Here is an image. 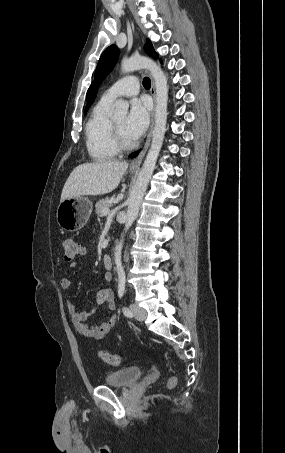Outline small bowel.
I'll return each mask as SVG.
<instances>
[{
  "mask_svg": "<svg viewBox=\"0 0 285 453\" xmlns=\"http://www.w3.org/2000/svg\"><path fill=\"white\" fill-rule=\"evenodd\" d=\"M87 250L84 247H80L79 255L85 256ZM69 267L75 269L77 264L75 262L70 263ZM105 280L110 282L112 280V275L107 273L105 275ZM61 288L67 291L72 289V282L63 278L60 281ZM97 303L98 305H104L109 311H114L116 309V303L114 300V294L110 289H102L97 294ZM68 312L71 317V320L76 328V330L87 338H93L96 340L102 339L107 333H109L117 322V315L112 313L109 315L106 321L98 325H91L88 323L89 317L94 313L95 308L90 312H81L77 311L74 305V302L71 299L67 300Z\"/></svg>",
  "mask_w": 285,
  "mask_h": 453,
  "instance_id": "small-bowel-1",
  "label": "small bowel"
}]
</instances>
